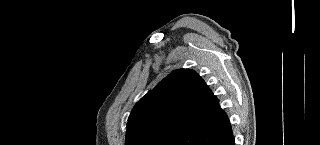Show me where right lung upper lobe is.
<instances>
[{
	"mask_svg": "<svg viewBox=\"0 0 320 145\" xmlns=\"http://www.w3.org/2000/svg\"><path fill=\"white\" fill-rule=\"evenodd\" d=\"M220 109L218 99L195 71L176 70L134 106L125 145H136L156 133L180 132L204 123Z\"/></svg>",
	"mask_w": 320,
	"mask_h": 145,
	"instance_id": "cb5924a9",
	"label": "right lung upper lobe"
}]
</instances>
